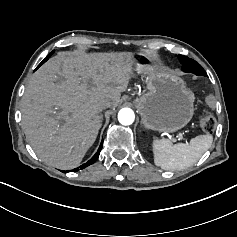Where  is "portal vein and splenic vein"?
I'll list each match as a JSON object with an SVG mask.
<instances>
[{"instance_id": "portal-vein-and-splenic-vein-1", "label": "portal vein and splenic vein", "mask_w": 237, "mask_h": 237, "mask_svg": "<svg viewBox=\"0 0 237 237\" xmlns=\"http://www.w3.org/2000/svg\"><path fill=\"white\" fill-rule=\"evenodd\" d=\"M180 137V139L182 140L184 137L182 136L183 134H182V131H179V134H178Z\"/></svg>"}]
</instances>
